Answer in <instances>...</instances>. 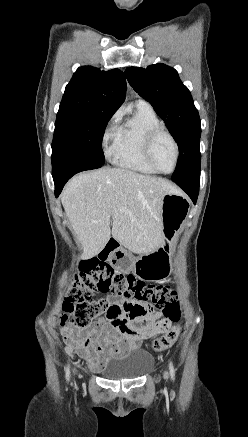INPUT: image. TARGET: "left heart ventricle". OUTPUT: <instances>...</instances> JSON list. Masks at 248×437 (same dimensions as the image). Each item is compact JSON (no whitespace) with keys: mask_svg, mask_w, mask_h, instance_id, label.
<instances>
[{"mask_svg":"<svg viewBox=\"0 0 248 437\" xmlns=\"http://www.w3.org/2000/svg\"><path fill=\"white\" fill-rule=\"evenodd\" d=\"M153 157L160 170L169 172L172 170L175 160V149L173 143L166 135L157 138L154 148Z\"/></svg>","mask_w":248,"mask_h":437,"instance_id":"left-heart-ventricle-1","label":"left heart ventricle"}]
</instances>
